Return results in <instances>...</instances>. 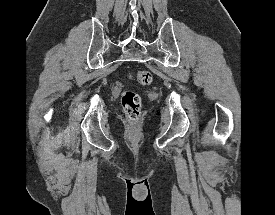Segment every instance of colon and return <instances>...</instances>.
Listing matches in <instances>:
<instances>
[{
	"mask_svg": "<svg viewBox=\"0 0 275 215\" xmlns=\"http://www.w3.org/2000/svg\"><path fill=\"white\" fill-rule=\"evenodd\" d=\"M135 78L140 85H149L152 81V74L148 70H138ZM121 102L128 119L133 122L137 121L141 112L140 96L132 90H127L123 92Z\"/></svg>",
	"mask_w": 275,
	"mask_h": 215,
	"instance_id": "obj_1",
	"label": "colon"
}]
</instances>
